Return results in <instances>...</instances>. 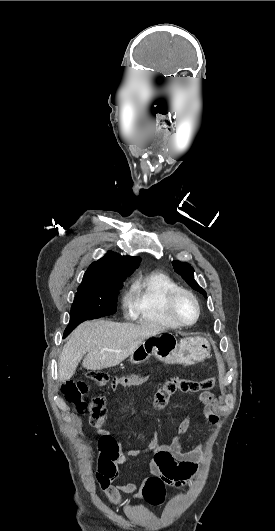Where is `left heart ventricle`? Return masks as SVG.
Segmentation results:
<instances>
[{
  "mask_svg": "<svg viewBox=\"0 0 275 531\" xmlns=\"http://www.w3.org/2000/svg\"><path fill=\"white\" fill-rule=\"evenodd\" d=\"M174 312L183 322H191L196 317V305L194 301L185 294H180L174 301Z\"/></svg>",
  "mask_w": 275,
  "mask_h": 531,
  "instance_id": "obj_1",
  "label": "left heart ventricle"
}]
</instances>
